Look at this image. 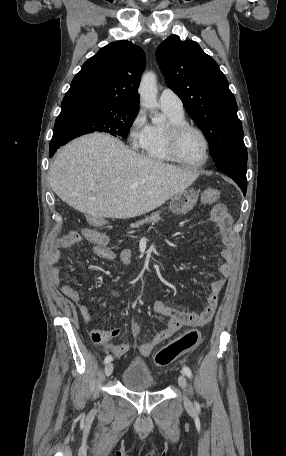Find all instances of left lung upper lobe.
<instances>
[{
  "label": "left lung upper lobe",
  "mask_w": 286,
  "mask_h": 456,
  "mask_svg": "<svg viewBox=\"0 0 286 456\" xmlns=\"http://www.w3.org/2000/svg\"><path fill=\"white\" fill-rule=\"evenodd\" d=\"M156 58L167 85L206 136L214 162L247 160L237 103L215 60L196 42L177 35L160 44Z\"/></svg>",
  "instance_id": "obj_1"
}]
</instances>
